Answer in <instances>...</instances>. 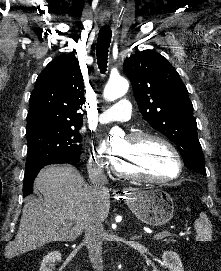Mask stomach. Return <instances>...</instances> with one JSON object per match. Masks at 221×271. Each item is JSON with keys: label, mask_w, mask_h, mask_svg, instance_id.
<instances>
[{"label": "stomach", "mask_w": 221, "mask_h": 271, "mask_svg": "<svg viewBox=\"0 0 221 271\" xmlns=\"http://www.w3.org/2000/svg\"><path fill=\"white\" fill-rule=\"evenodd\" d=\"M125 197L132 213L147 225H164L173 217V199L162 189L131 187L127 189Z\"/></svg>", "instance_id": "1"}]
</instances>
